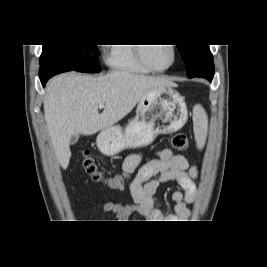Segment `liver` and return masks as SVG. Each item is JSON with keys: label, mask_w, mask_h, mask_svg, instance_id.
I'll return each mask as SVG.
<instances>
[{"label": "liver", "mask_w": 267, "mask_h": 267, "mask_svg": "<svg viewBox=\"0 0 267 267\" xmlns=\"http://www.w3.org/2000/svg\"><path fill=\"white\" fill-rule=\"evenodd\" d=\"M173 86L163 77L127 71L99 77L71 72L51 79L44 97V117L61 167L69 165L71 136L93 135L111 127L130 113L148 91ZM100 103L105 104L101 114Z\"/></svg>", "instance_id": "1"}]
</instances>
